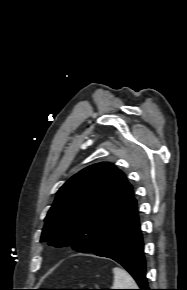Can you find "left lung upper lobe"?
<instances>
[{"label": "left lung upper lobe", "mask_w": 187, "mask_h": 290, "mask_svg": "<svg viewBox=\"0 0 187 290\" xmlns=\"http://www.w3.org/2000/svg\"><path fill=\"white\" fill-rule=\"evenodd\" d=\"M134 201L132 186L123 172L108 162L93 164L59 189L45 218L41 241L91 253Z\"/></svg>", "instance_id": "obj_1"}]
</instances>
